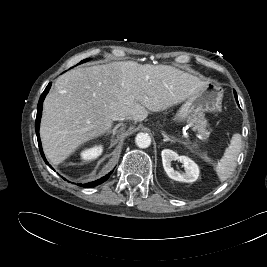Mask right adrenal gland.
<instances>
[{"label":"right adrenal gland","mask_w":267,"mask_h":267,"mask_svg":"<svg viewBox=\"0 0 267 267\" xmlns=\"http://www.w3.org/2000/svg\"><path fill=\"white\" fill-rule=\"evenodd\" d=\"M120 126H123V123H119V124H117L113 129L108 130L106 134H112L111 137L113 138L114 135L116 134L117 129H118Z\"/></svg>","instance_id":"2a0ac1e0"}]
</instances>
